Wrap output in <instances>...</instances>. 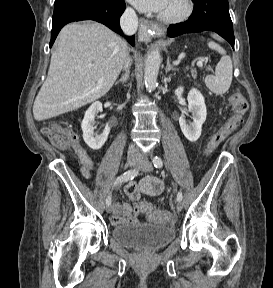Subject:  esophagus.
Wrapping results in <instances>:
<instances>
[{
	"label": "esophagus",
	"mask_w": 273,
	"mask_h": 288,
	"mask_svg": "<svg viewBox=\"0 0 273 288\" xmlns=\"http://www.w3.org/2000/svg\"><path fill=\"white\" fill-rule=\"evenodd\" d=\"M165 28L154 22L148 21L147 19H140V31L139 36L143 40L150 39L154 34L163 35Z\"/></svg>",
	"instance_id": "obj_1"
}]
</instances>
